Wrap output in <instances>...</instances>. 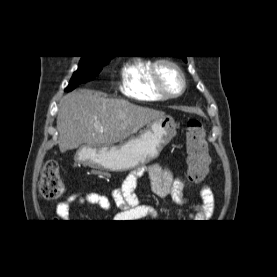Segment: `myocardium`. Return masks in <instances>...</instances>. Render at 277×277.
<instances>
[{
    "mask_svg": "<svg viewBox=\"0 0 277 277\" xmlns=\"http://www.w3.org/2000/svg\"><path fill=\"white\" fill-rule=\"evenodd\" d=\"M161 65H168L175 70V72L177 73V75L179 76V78L181 80V87H180L179 91H177L175 93H171V92L167 91L166 88L163 86L161 78H160V74H159V68ZM151 73H152V80H153V85H154L155 90L166 99L176 98V97L182 95L184 93V91L186 90L187 81H186V77L183 72V69L177 62H175L174 60H172L170 58H161V59L153 62L152 67H151Z\"/></svg>",
    "mask_w": 277,
    "mask_h": 277,
    "instance_id": "myocardium-1",
    "label": "myocardium"
}]
</instances>
